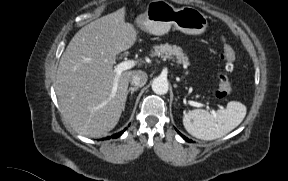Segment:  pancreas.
I'll return each mask as SVG.
<instances>
[{"instance_id": "pancreas-1", "label": "pancreas", "mask_w": 288, "mask_h": 181, "mask_svg": "<svg viewBox=\"0 0 288 181\" xmlns=\"http://www.w3.org/2000/svg\"><path fill=\"white\" fill-rule=\"evenodd\" d=\"M154 50L152 51V56H167V57H175V60L179 64L189 65L188 57L185 55L183 50L176 45L171 44H161L155 45Z\"/></svg>"}]
</instances>
